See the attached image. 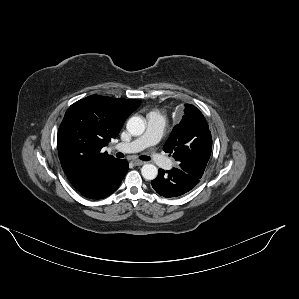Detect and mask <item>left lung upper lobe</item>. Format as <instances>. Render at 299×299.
I'll use <instances>...</instances> for the list:
<instances>
[{"instance_id":"left-lung-upper-lobe-1","label":"left lung upper lobe","mask_w":299,"mask_h":299,"mask_svg":"<svg viewBox=\"0 0 299 299\" xmlns=\"http://www.w3.org/2000/svg\"><path fill=\"white\" fill-rule=\"evenodd\" d=\"M184 106V116L173 128L163 150L173 154L180 169L201 179L211 155V132L205 117L195 106Z\"/></svg>"}]
</instances>
